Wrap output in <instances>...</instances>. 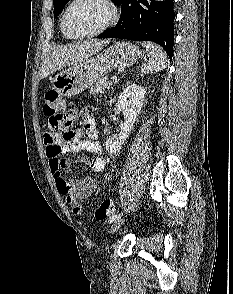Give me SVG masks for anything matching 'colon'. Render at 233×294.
<instances>
[{"label":"colon","mask_w":233,"mask_h":294,"mask_svg":"<svg viewBox=\"0 0 233 294\" xmlns=\"http://www.w3.org/2000/svg\"><path fill=\"white\" fill-rule=\"evenodd\" d=\"M63 105L59 99L58 94L55 91H48L44 96V106L43 111L47 117H51L53 110H62ZM70 121V118H68ZM67 201L73 204V212L78 214L81 211V205L76 201L72 200L70 197H67ZM114 211V204L112 200H104L100 205L95 209L93 213L94 221H103L108 216H110Z\"/></svg>","instance_id":"5ec220e1"}]
</instances>
